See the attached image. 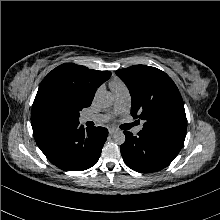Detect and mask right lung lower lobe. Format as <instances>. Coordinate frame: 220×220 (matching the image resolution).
<instances>
[{"label": "right lung lower lobe", "instance_id": "obj_1", "mask_svg": "<svg viewBox=\"0 0 220 220\" xmlns=\"http://www.w3.org/2000/svg\"><path fill=\"white\" fill-rule=\"evenodd\" d=\"M38 147L55 166L82 171L95 165L108 136L104 127L84 129L79 124L49 126L33 132Z\"/></svg>", "mask_w": 220, "mask_h": 220}]
</instances>
